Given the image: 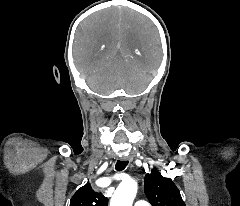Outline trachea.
<instances>
[{"label": "trachea", "instance_id": "obj_1", "mask_svg": "<svg viewBox=\"0 0 240 206\" xmlns=\"http://www.w3.org/2000/svg\"><path fill=\"white\" fill-rule=\"evenodd\" d=\"M127 164H128V161L123 162V161H119L118 160L117 163H116L115 168H116L117 171H122V170L125 169Z\"/></svg>", "mask_w": 240, "mask_h": 206}]
</instances>
